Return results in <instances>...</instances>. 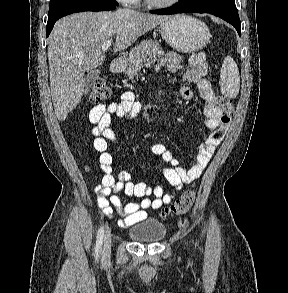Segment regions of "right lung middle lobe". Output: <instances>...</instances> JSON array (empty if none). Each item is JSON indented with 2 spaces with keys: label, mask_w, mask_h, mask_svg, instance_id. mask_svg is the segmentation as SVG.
I'll list each match as a JSON object with an SVG mask.
<instances>
[{
  "label": "right lung middle lobe",
  "mask_w": 288,
  "mask_h": 293,
  "mask_svg": "<svg viewBox=\"0 0 288 293\" xmlns=\"http://www.w3.org/2000/svg\"><path fill=\"white\" fill-rule=\"evenodd\" d=\"M80 4H93L98 6H117L115 0H50L48 16H51L65 8Z\"/></svg>",
  "instance_id": "dd1d6c3e"
}]
</instances>
